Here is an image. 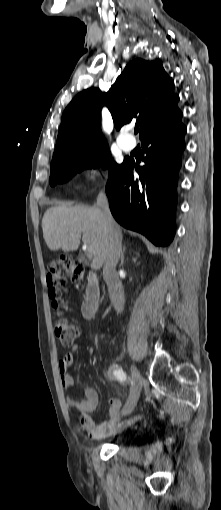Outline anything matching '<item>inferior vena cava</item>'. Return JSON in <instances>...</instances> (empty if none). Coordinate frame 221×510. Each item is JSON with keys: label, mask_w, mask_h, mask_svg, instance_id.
I'll return each mask as SVG.
<instances>
[{"label": "inferior vena cava", "mask_w": 221, "mask_h": 510, "mask_svg": "<svg viewBox=\"0 0 221 510\" xmlns=\"http://www.w3.org/2000/svg\"><path fill=\"white\" fill-rule=\"evenodd\" d=\"M97 205L104 215L105 227L108 232V243L104 256L103 277L109 286L110 297L115 310L119 313L124 309V288L118 278L116 265L122 252V238L109 209L108 198L104 192L97 197Z\"/></svg>", "instance_id": "1"}]
</instances>
